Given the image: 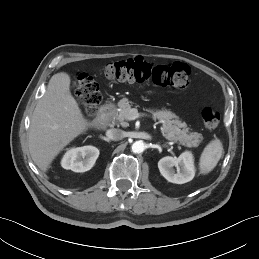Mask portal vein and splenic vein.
Wrapping results in <instances>:
<instances>
[{
	"instance_id": "obj_1",
	"label": "portal vein and splenic vein",
	"mask_w": 259,
	"mask_h": 259,
	"mask_svg": "<svg viewBox=\"0 0 259 259\" xmlns=\"http://www.w3.org/2000/svg\"><path fill=\"white\" fill-rule=\"evenodd\" d=\"M140 117V113H138L137 109L132 108L129 111L128 120H135Z\"/></svg>"
}]
</instances>
